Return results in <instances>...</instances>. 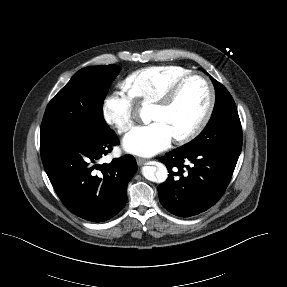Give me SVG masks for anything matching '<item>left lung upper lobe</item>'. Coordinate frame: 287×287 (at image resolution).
Here are the masks:
<instances>
[{
	"instance_id": "5c2ea615",
	"label": "left lung upper lobe",
	"mask_w": 287,
	"mask_h": 287,
	"mask_svg": "<svg viewBox=\"0 0 287 287\" xmlns=\"http://www.w3.org/2000/svg\"><path fill=\"white\" fill-rule=\"evenodd\" d=\"M210 78L216 91V102L212 116L201 134L184 146L219 149L240 155L242 128L235 102L221 83L213 77Z\"/></svg>"
}]
</instances>
